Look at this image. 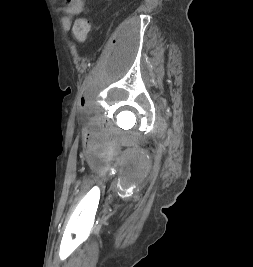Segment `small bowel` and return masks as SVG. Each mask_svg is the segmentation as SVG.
<instances>
[{
  "label": "small bowel",
  "mask_w": 253,
  "mask_h": 267,
  "mask_svg": "<svg viewBox=\"0 0 253 267\" xmlns=\"http://www.w3.org/2000/svg\"><path fill=\"white\" fill-rule=\"evenodd\" d=\"M63 1L64 4L60 8L62 13V26L65 30H69L74 19L85 9V0H57Z\"/></svg>",
  "instance_id": "1"
}]
</instances>
